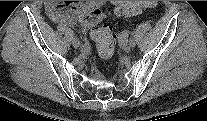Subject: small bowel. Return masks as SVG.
<instances>
[{
	"instance_id": "small-bowel-1",
	"label": "small bowel",
	"mask_w": 207,
	"mask_h": 121,
	"mask_svg": "<svg viewBox=\"0 0 207 121\" xmlns=\"http://www.w3.org/2000/svg\"><path fill=\"white\" fill-rule=\"evenodd\" d=\"M102 1H46L45 12L56 23L80 24L84 31L103 19Z\"/></svg>"
}]
</instances>
